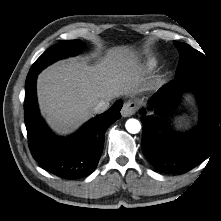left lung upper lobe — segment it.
<instances>
[{
    "instance_id": "obj_1",
    "label": "left lung upper lobe",
    "mask_w": 221,
    "mask_h": 221,
    "mask_svg": "<svg viewBox=\"0 0 221 221\" xmlns=\"http://www.w3.org/2000/svg\"><path fill=\"white\" fill-rule=\"evenodd\" d=\"M174 44L180 54L175 77L201 76L221 87L220 78L212 70L207 58L201 52L182 42Z\"/></svg>"
}]
</instances>
